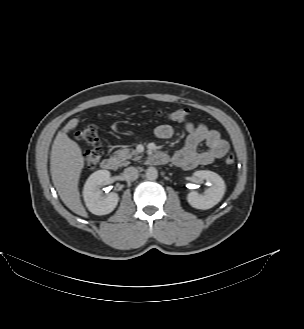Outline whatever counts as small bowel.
<instances>
[{
	"label": "small bowel",
	"instance_id": "small-bowel-1",
	"mask_svg": "<svg viewBox=\"0 0 304 329\" xmlns=\"http://www.w3.org/2000/svg\"><path fill=\"white\" fill-rule=\"evenodd\" d=\"M184 127L187 132L185 144L180 150L170 155V160L175 166L183 170H192L222 158L229 151V143L217 130L209 128L206 124L187 122ZM173 133V127L168 124L159 125L155 129L156 136L163 140L171 138ZM202 143H205L207 149L198 151Z\"/></svg>",
	"mask_w": 304,
	"mask_h": 329
}]
</instances>
